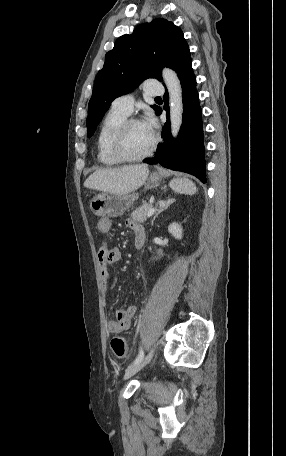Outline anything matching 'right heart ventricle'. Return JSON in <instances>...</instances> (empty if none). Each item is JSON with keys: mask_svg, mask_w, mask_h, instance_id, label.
<instances>
[{"mask_svg": "<svg viewBox=\"0 0 286 456\" xmlns=\"http://www.w3.org/2000/svg\"><path fill=\"white\" fill-rule=\"evenodd\" d=\"M128 115L114 110L112 107L104 117L96 141L97 159L105 166H114L120 161L112 154L111 141L119 125Z\"/></svg>", "mask_w": 286, "mask_h": 456, "instance_id": "1", "label": "right heart ventricle"}]
</instances>
